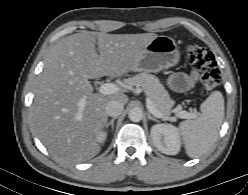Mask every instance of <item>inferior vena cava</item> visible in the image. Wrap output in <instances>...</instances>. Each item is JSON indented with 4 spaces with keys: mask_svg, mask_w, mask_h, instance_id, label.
<instances>
[{
    "mask_svg": "<svg viewBox=\"0 0 248 195\" xmlns=\"http://www.w3.org/2000/svg\"><path fill=\"white\" fill-rule=\"evenodd\" d=\"M123 107L124 105L120 101L111 100L107 103L105 110L108 116L117 117L122 113Z\"/></svg>",
    "mask_w": 248,
    "mask_h": 195,
    "instance_id": "inferior-vena-cava-1",
    "label": "inferior vena cava"
}]
</instances>
